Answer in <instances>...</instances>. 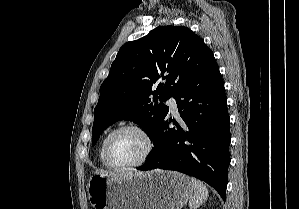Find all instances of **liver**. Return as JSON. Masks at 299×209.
Masks as SVG:
<instances>
[{"label":"liver","instance_id":"1","mask_svg":"<svg viewBox=\"0 0 299 209\" xmlns=\"http://www.w3.org/2000/svg\"><path fill=\"white\" fill-rule=\"evenodd\" d=\"M97 174H101L103 176H107V177H114V178H126V177H131V176H141L145 173L143 172H139V171H124V172H104L101 170H97L96 171Z\"/></svg>","mask_w":299,"mask_h":209}]
</instances>
